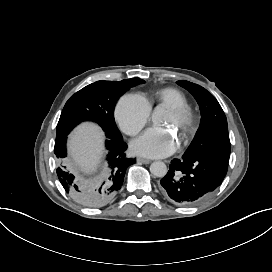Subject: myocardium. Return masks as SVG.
<instances>
[{"instance_id": "obj_1", "label": "myocardium", "mask_w": 272, "mask_h": 272, "mask_svg": "<svg viewBox=\"0 0 272 272\" xmlns=\"http://www.w3.org/2000/svg\"><path fill=\"white\" fill-rule=\"evenodd\" d=\"M169 110L177 118V126L182 129L183 135L187 136L194 127V115L186 106H170Z\"/></svg>"}]
</instances>
